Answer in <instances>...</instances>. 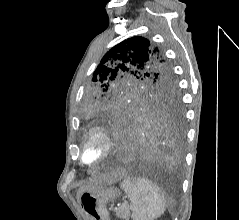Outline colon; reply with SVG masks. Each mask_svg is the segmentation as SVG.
I'll list each match as a JSON object with an SVG mask.
<instances>
[{
  "mask_svg": "<svg viewBox=\"0 0 239 220\" xmlns=\"http://www.w3.org/2000/svg\"><path fill=\"white\" fill-rule=\"evenodd\" d=\"M94 219L101 220V218L97 215H94Z\"/></svg>",
  "mask_w": 239,
  "mask_h": 220,
  "instance_id": "5ec220e1",
  "label": "colon"
}]
</instances>
